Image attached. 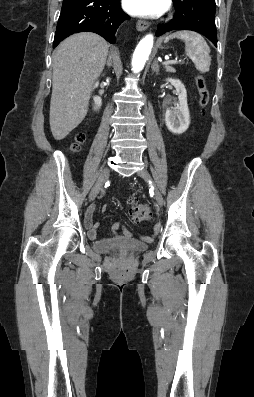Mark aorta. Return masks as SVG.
<instances>
[{"label":"aorta","mask_w":254,"mask_h":397,"mask_svg":"<svg viewBox=\"0 0 254 397\" xmlns=\"http://www.w3.org/2000/svg\"><path fill=\"white\" fill-rule=\"evenodd\" d=\"M153 36L146 35L137 45L132 59V70L139 72L143 69L153 47Z\"/></svg>","instance_id":"obj_1"}]
</instances>
